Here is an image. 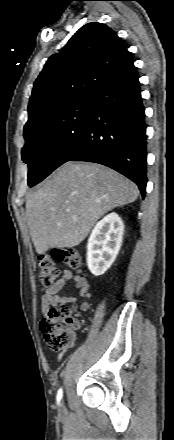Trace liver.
<instances>
[{
    "instance_id": "1",
    "label": "liver",
    "mask_w": 174,
    "mask_h": 440,
    "mask_svg": "<svg viewBox=\"0 0 174 440\" xmlns=\"http://www.w3.org/2000/svg\"><path fill=\"white\" fill-rule=\"evenodd\" d=\"M138 188L95 163L66 162L26 201V219L38 254L79 245L108 211L134 202Z\"/></svg>"
}]
</instances>
